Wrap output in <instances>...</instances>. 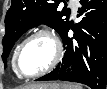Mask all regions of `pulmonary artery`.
I'll return each instance as SVG.
<instances>
[{
	"instance_id": "e3ab8cb5",
	"label": "pulmonary artery",
	"mask_w": 107,
	"mask_h": 89,
	"mask_svg": "<svg viewBox=\"0 0 107 89\" xmlns=\"http://www.w3.org/2000/svg\"><path fill=\"white\" fill-rule=\"evenodd\" d=\"M70 5L72 8L73 15H75L77 12V9H78V1L77 0H71Z\"/></svg>"
}]
</instances>
